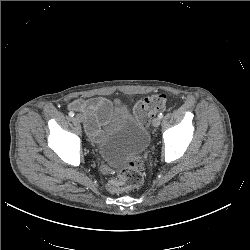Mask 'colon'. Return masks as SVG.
<instances>
[{
    "mask_svg": "<svg viewBox=\"0 0 250 250\" xmlns=\"http://www.w3.org/2000/svg\"><path fill=\"white\" fill-rule=\"evenodd\" d=\"M167 100L165 94H153L138 101L133 107V112L143 125H147L154 114L165 109ZM142 167L140 156L129 159L118 173L108 181V189L120 193L140 186L143 182Z\"/></svg>",
    "mask_w": 250,
    "mask_h": 250,
    "instance_id": "1",
    "label": "colon"
}]
</instances>
